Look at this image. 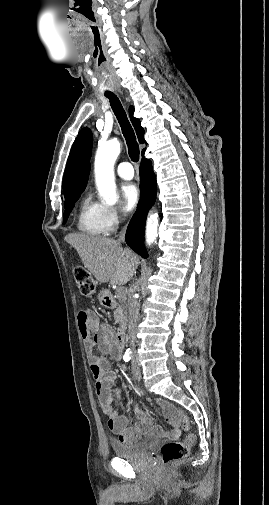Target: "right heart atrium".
<instances>
[{
	"label": "right heart atrium",
	"mask_w": 269,
	"mask_h": 505,
	"mask_svg": "<svg viewBox=\"0 0 269 505\" xmlns=\"http://www.w3.org/2000/svg\"><path fill=\"white\" fill-rule=\"evenodd\" d=\"M103 217L107 230L113 231L125 218V215L122 212H120L116 207L104 206Z\"/></svg>",
	"instance_id": "1"
}]
</instances>
